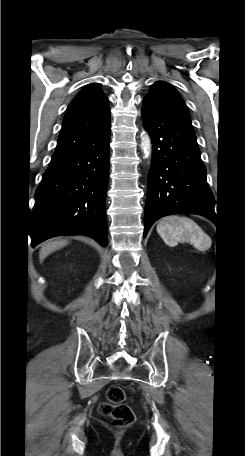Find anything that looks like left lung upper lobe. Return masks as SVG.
I'll return each mask as SVG.
<instances>
[{"label": "left lung upper lobe", "mask_w": 245, "mask_h": 456, "mask_svg": "<svg viewBox=\"0 0 245 456\" xmlns=\"http://www.w3.org/2000/svg\"><path fill=\"white\" fill-rule=\"evenodd\" d=\"M145 99L153 101L161 107L168 108L189 116L187 106L178 92L168 83L158 81L153 84Z\"/></svg>", "instance_id": "1"}]
</instances>
